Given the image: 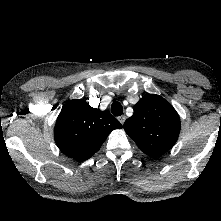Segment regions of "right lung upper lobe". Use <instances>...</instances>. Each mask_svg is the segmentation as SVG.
I'll list each match as a JSON object with an SVG mask.
<instances>
[{"instance_id":"1","label":"right lung upper lobe","mask_w":221,"mask_h":221,"mask_svg":"<svg viewBox=\"0 0 221 221\" xmlns=\"http://www.w3.org/2000/svg\"><path fill=\"white\" fill-rule=\"evenodd\" d=\"M121 123L109 111L92 108L80 99L68 102L61 110L54 129V139L67 156L84 161L97 152L107 136Z\"/></svg>"}]
</instances>
